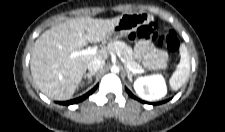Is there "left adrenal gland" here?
<instances>
[{
	"label": "left adrenal gland",
	"mask_w": 225,
	"mask_h": 132,
	"mask_svg": "<svg viewBox=\"0 0 225 132\" xmlns=\"http://www.w3.org/2000/svg\"><path fill=\"white\" fill-rule=\"evenodd\" d=\"M126 72H127V76H128L129 81L132 82L133 74L129 70H126Z\"/></svg>",
	"instance_id": "1"
}]
</instances>
